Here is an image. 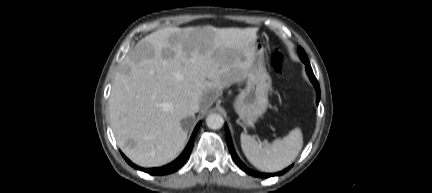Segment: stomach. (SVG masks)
<instances>
[{
	"mask_svg": "<svg viewBox=\"0 0 432 193\" xmlns=\"http://www.w3.org/2000/svg\"><path fill=\"white\" fill-rule=\"evenodd\" d=\"M254 62L249 69L245 88L238 94L233 107L245 126L252 127L268 107V93L272 86L266 68L264 45L260 37L255 41Z\"/></svg>",
	"mask_w": 432,
	"mask_h": 193,
	"instance_id": "stomach-1",
	"label": "stomach"
}]
</instances>
